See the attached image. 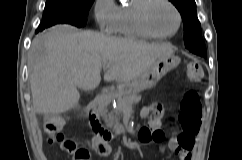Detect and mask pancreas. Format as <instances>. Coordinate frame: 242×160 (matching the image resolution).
I'll return each mask as SVG.
<instances>
[{"mask_svg": "<svg viewBox=\"0 0 242 160\" xmlns=\"http://www.w3.org/2000/svg\"><path fill=\"white\" fill-rule=\"evenodd\" d=\"M112 98L117 101V107L110 112H108V109L105 108L103 111V117L107 125L109 127H113L114 131L119 134L122 131V125L120 124L122 113L126 109H131L135 103H138L141 100V96L137 94L125 96L113 95Z\"/></svg>", "mask_w": 242, "mask_h": 160, "instance_id": "pancreas-1", "label": "pancreas"}]
</instances>
